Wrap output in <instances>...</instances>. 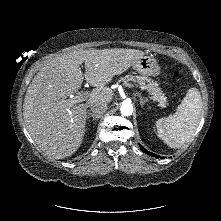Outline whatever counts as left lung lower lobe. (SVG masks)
<instances>
[{"label": "left lung lower lobe", "instance_id": "left-lung-lower-lobe-1", "mask_svg": "<svg viewBox=\"0 0 221 221\" xmlns=\"http://www.w3.org/2000/svg\"><path fill=\"white\" fill-rule=\"evenodd\" d=\"M141 150H142L144 153H147L148 155H151V156H154V157H157V158L160 157V156H158V155H155V154H153V153L147 151V150H146L145 148H143V147H141Z\"/></svg>", "mask_w": 221, "mask_h": 221}]
</instances>
